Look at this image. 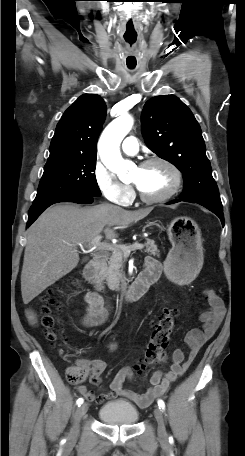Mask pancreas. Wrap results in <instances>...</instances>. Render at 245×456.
I'll use <instances>...</instances> for the list:
<instances>
[{
	"instance_id": "pancreas-1",
	"label": "pancreas",
	"mask_w": 245,
	"mask_h": 456,
	"mask_svg": "<svg viewBox=\"0 0 245 456\" xmlns=\"http://www.w3.org/2000/svg\"><path fill=\"white\" fill-rule=\"evenodd\" d=\"M122 246H131V245H122ZM146 250L145 252L159 257V250L154 240L146 239L145 242ZM125 253L120 246L116 247V251L108 255L107 264L103 267L102 278L106 281L107 286L110 290L118 291L120 287H126V277L122 273L123 269V259L125 258Z\"/></svg>"
}]
</instances>
